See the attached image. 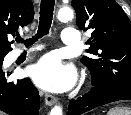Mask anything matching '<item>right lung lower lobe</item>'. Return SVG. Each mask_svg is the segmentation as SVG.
I'll use <instances>...</instances> for the list:
<instances>
[{"label": "right lung lower lobe", "instance_id": "obj_1", "mask_svg": "<svg viewBox=\"0 0 131 115\" xmlns=\"http://www.w3.org/2000/svg\"><path fill=\"white\" fill-rule=\"evenodd\" d=\"M0 68V110L9 115H38L39 93L29 78L7 82Z\"/></svg>", "mask_w": 131, "mask_h": 115}]
</instances>
